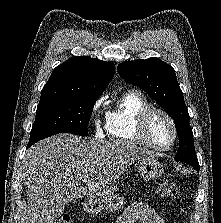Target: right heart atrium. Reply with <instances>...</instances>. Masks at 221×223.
<instances>
[{
  "label": "right heart atrium",
  "instance_id": "obj_1",
  "mask_svg": "<svg viewBox=\"0 0 221 223\" xmlns=\"http://www.w3.org/2000/svg\"><path fill=\"white\" fill-rule=\"evenodd\" d=\"M103 101V98H99L93 105L92 120L96 135H102L106 127L107 116L103 113Z\"/></svg>",
  "mask_w": 221,
  "mask_h": 223
}]
</instances>
